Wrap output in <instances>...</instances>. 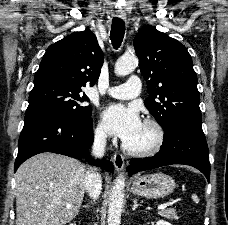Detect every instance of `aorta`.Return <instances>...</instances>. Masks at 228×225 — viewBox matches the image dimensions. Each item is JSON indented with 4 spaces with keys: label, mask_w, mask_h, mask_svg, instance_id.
Masks as SVG:
<instances>
[{
    "label": "aorta",
    "mask_w": 228,
    "mask_h": 225,
    "mask_svg": "<svg viewBox=\"0 0 228 225\" xmlns=\"http://www.w3.org/2000/svg\"><path fill=\"white\" fill-rule=\"evenodd\" d=\"M138 66L136 54H122L115 62V72L119 76L130 74ZM125 179L124 175L117 177L110 195L108 207V225H121V213L124 201Z\"/></svg>",
    "instance_id": "aorta-1"
}]
</instances>
